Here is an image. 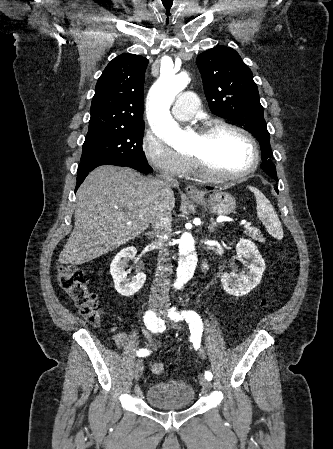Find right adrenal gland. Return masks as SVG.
I'll use <instances>...</instances> for the list:
<instances>
[{
	"instance_id": "obj_1",
	"label": "right adrenal gland",
	"mask_w": 333,
	"mask_h": 449,
	"mask_svg": "<svg viewBox=\"0 0 333 449\" xmlns=\"http://www.w3.org/2000/svg\"><path fill=\"white\" fill-rule=\"evenodd\" d=\"M148 235L152 236V235H153V233H152V232H148Z\"/></svg>"
}]
</instances>
